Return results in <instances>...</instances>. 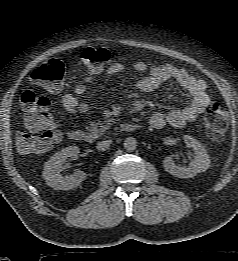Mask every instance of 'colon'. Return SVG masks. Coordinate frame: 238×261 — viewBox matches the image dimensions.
<instances>
[{
    "mask_svg": "<svg viewBox=\"0 0 238 261\" xmlns=\"http://www.w3.org/2000/svg\"><path fill=\"white\" fill-rule=\"evenodd\" d=\"M110 52L101 47L87 48L81 59L92 71H99L110 61ZM65 66L59 59H50L33 71L31 78L35 85L56 91L64 78ZM24 112L25 129L18 131L16 145L25 154L42 153L49 150L60 139V131L54 124L50 101L40 95L34 88L27 89L21 97ZM229 114L219 103H212L204 116V126L207 135L215 141L221 140L228 128Z\"/></svg>",
    "mask_w": 238,
    "mask_h": 261,
    "instance_id": "5ec220e1",
    "label": "colon"
}]
</instances>
